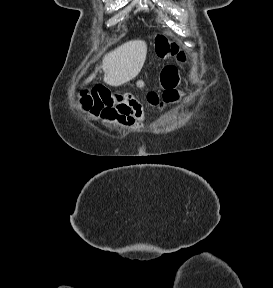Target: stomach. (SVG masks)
Here are the masks:
<instances>
[{
    "instance_id": "stomach-1",
    "label": "stomach",
    "mask_w": 273,
    "mask_h": 288,
    "mask_svg": "<svg viewBox=\"0 0 273 288\" xmlns=\"http://www.w3.org/2000/svg\"><path fill=\"white\" fill-rule=\"evenodd\" d=\"M154 53L160 59H166L173 54V47L171 41L164 35L155 37Z\"/></svg>"
}]
</instances>
